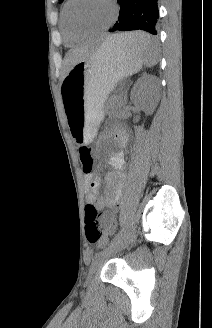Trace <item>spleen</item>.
Returning <instances> with one entry per match:
<instances>
[{
  "label": "spleen",
  "mask_w": 212,
  "mask_h": 328,
  "mask_svg": "<svg viewBox=\"0 0 212 328\" xmlns=\"http://www.w3.org/2000/svg\"><path fill=\"white\" fill-rule=\"evenodd\" d=\"M119 46L133 49L142 50L145 52L144 63L148 67H152L157 63L158 47L157 45H142L141 43L149 40V35L144 32H132L114 35ZM140 43V44H139ZM131 44H134L133 47Z\"/></svg>",
  "instance_id": "1"
}]
</instances>
